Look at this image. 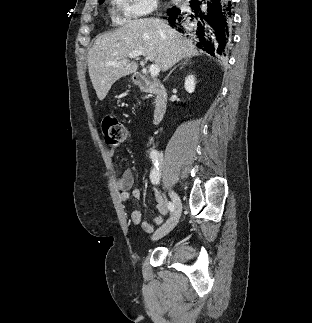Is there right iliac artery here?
I'll use <instances>...</instances> for the list:
<instances>
[{
	"label": "right iliac artery",
	"mask_w": 312,
	"mask_h": 323,
	"mask_svg": "<svg viewBox=\"0 0 312 323\" xmlns=\"http://www.w3.org/2000/svg\"><path fill=\"white\" fill-rule=\"evenodd\" d=\"M150 157L154 163V169L150 173V179L153 184H158L159 183V168H158V158H159V153L157 151H152L150 153ZM168 209L173 212L174 211V204L172 202L167 203Z\"/></svg>",
	"instance_id": "1"
}]
</instances>
